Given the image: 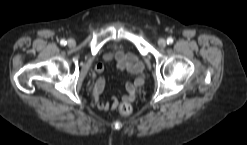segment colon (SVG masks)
Listing matches in <instances>:
<instances>
[{
    "label": "colon",
    "instance_id": "5ec220e1",
    "mask_svg": "<svg viewBox=\"0 0 247 145\" xmlns=\"http://www.w3.org/2000/svg\"><path fill=\"white\" fill-rule=\"evenodd\" d=\"M120 114L128 116L132 113V106L128 102H123L119 106Z\"/></svg>",
    "mask_w": 247,
    "mask_h": 145
}]
</instances>
